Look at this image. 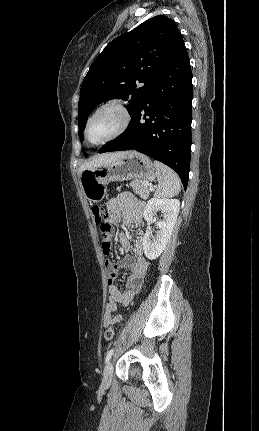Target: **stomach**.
I'll use <instances>...</instances> for the list:
<instances>
[{
  "label": "stomach",
  "instance_id": "1",
  "mask_svg": "<svg viewBox=\"0 0 259 431\" xmlns=\"http://www.w3.org/2000/svg\"><path fill=\"white\" fill-rule=\"evenodd\" d=\"M156 176L157 172L149 157L128 151L111 163L81 172L80 184L86 199L97 203L106 196L110 182L131 179L153 181Z\"/></svg>",
  "mask_w": 259,
  "mask_h": 431
}]
</instances>
